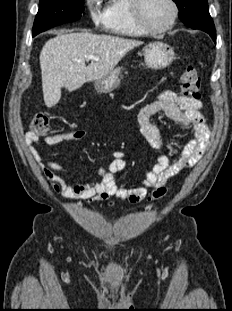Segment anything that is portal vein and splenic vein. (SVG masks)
I'll return each mask as SVG.
<instances>
[{"instance_id": "obj_1", "label": "portal vein and splenic vein", "mask_w": 232, "mask_h": 311, "mask_svg": "<svg viewBox=\"0 0 232 311\" xmlns=\"http://www.w3.org/2000/svg\"><path fill=\"white\" fill-rule=\"evenodd\" d=\"M86 60H95V61H98V60H100V58L97 57V56H94V55H88V56L86 57Z\"/></svg>"}]
</instances>
